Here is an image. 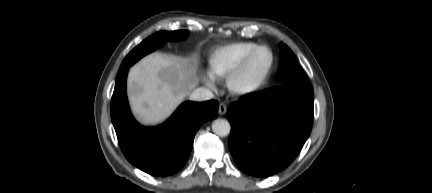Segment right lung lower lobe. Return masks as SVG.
Here are the masks:
<instances>
[{"mask_svg":"<svg viewBox=\"0 0 432 193\" xmlns=\"http://www.w3.org/2000/svg\"><path fill=\"white\" fill-rule=\"evenodd\" d=\"M129 67L116 77L111 119L120 148L130 163L153 176H168L186 163L199 127L214 119L218 102H184L162 125L147 128L133 118L126 96Z\"/></svg>","mask_w":432,"mask_h":193,"instance_id":"obj_1","label":"right lung lower lobe"}]
</instances>
